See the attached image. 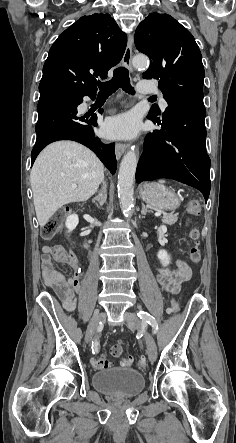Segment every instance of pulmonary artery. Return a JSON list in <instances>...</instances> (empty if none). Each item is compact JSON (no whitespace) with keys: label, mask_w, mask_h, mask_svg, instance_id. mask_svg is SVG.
<instances>
[{"label":"pulmonary artery","mask_w":236,"mask_h":443,"mask_svg":"<svg viewBox=\"0 0 236 443\" xmlns=\"http://www.w3.org/2000/svg\"><path fill=\"white\" fill-rule=\"evenodd\" d=\"M137 89L140 93L147 94L151 93L153 89L149 87L148 82L140 81L137 85ZM168 106L167 102L164 99H161V107L162 109H166Z\"/></svg>","instance_id":"1"}]
</instances>
